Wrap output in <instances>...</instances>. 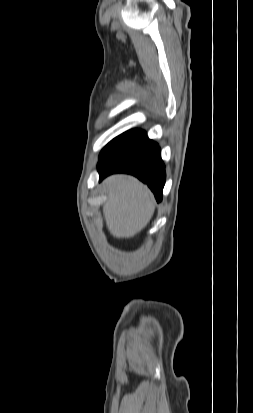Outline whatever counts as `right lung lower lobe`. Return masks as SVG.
<instances>
[{"mask_svg":"<svg viewBox=\"0 0 253 413\" xmlns=\"http://www.w3.org/2000/svg\"><path fill=\"white\" fill-rule=\"evenodd\" d=\"M100 181L112 173H128L146 183L158 202L162 200L165 168L157 143L145 138L115 153L98 165Z\"/></svg>","mask_w":253,"mask_h":413,"instance_id":"obj_1","label":"right lung lower lobe"}]
</instances>
